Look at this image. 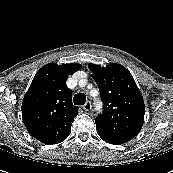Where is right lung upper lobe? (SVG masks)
Here are the masks:
<instances>
[{"instance_id": "cb5924a9", "label": "right lung upper lobe", "mask_w": 173, "mask_h": 173, "mask_svg": "<svg viewBox=\"0 0 173 173\" xmlns=\"http://www.w3.org/2000/svg\"><path fill=\"white\" fill-rule=\"evenodd\" d=\"M81 68L78 63H49L36 73L22 102L23 122L31 136L51 145L70 135L79 108L65 82Z\"/></svg>"}]
</instances>
